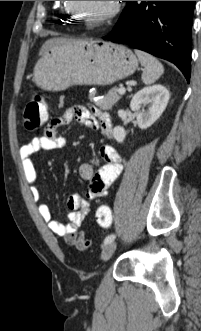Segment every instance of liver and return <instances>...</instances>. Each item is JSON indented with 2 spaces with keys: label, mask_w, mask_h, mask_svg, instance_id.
Segmentation results:
<instances>
[{
  "label": "liver",
  "mask_w": 201,
  "mask_h": 331,
  "mask_svg": "<svg viewBox=\"0 0 201 331\" xmlns=\"http://www.w3.org/2000/svg\"><path fill=\"white\" fill-rule=\"evenodd\" d=\"M68 41L67 39L64 38H52L47 40L41 47L40 49V54L42 55L46 50H48L49 48H51L53 45L58 44V43H62Z\"/></svg>",
  "instance_id": "obj_1"
}]
</instances>
